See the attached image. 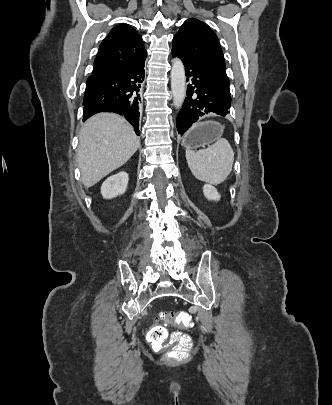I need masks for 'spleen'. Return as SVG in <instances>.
Listing matches in <instances>:
<instances>
[{"mask_svg":"<svg viewBox=\"0 0 332 405\" xmlns=\"http://www.w3.org/2000/svg\"><path fill=\"white\" fill-rule=\"evenodd\" d=\"M186 160L196 179L218 185L224 182L232 171L234 152L229 142L220 138L207 149L197 152L187 149Z\"/></svg>","mask_w":332,"mask_h":405,"instance_id":"spleen-1","label":"spleen"}]
</instances>
